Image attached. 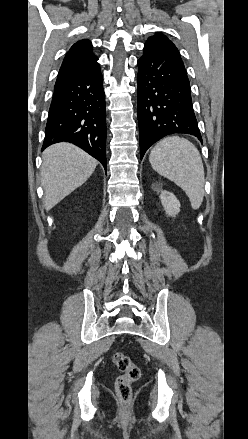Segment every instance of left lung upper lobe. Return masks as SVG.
Wrapping results in <instances>:
<instances>
[{"mask_svg": "<svg viewBox=\"0 0 248 439\" xmlns=\"http://www.w3.org/2000/svg\"><path fill=\"white\" fill-rule=\"evenodd\" d=\"M147 42H154V43H158V44H162L165 45L177 52L178 49L176 48V46L163 34L159 33V34H155L154 36H151Z\"/></svg>", "mask_w": 248, "mask_h": 439, "instance_id": "1", "label": "left lung upper lobe"}]
</instances>
